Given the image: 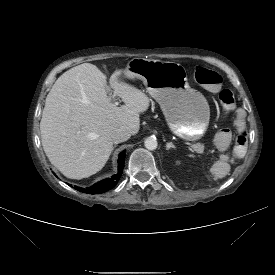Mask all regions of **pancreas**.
<instances>
[{
	"instance_id": "cf45deb5",
	"label": "pancreas",
	"mask_w": 275,
	"mask_h": 275,
	"mask_svg": "<svg viewBox=\"0 0 275 275\" xmlns=\"http://www.w3.org/2000/svg\"><path fill=\"white\" fill-rule=\"evenodd\" d=\"M203 145L201 144V143H197V144H195V145H193V147L195 148V147H202Z\"/></svg>"
}]
</instances>
